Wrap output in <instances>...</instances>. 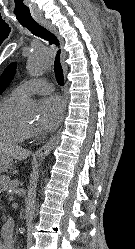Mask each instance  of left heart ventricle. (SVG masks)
<instances>
[{
    "mask_svg": "<svg viewBox=\"0 0 135 249\" xmlns=\"http://www.w3.org/2000/svg\"><path fill=\"white\" fill-rule=\"evenodd\" d=\"M24 124L29 125L30 123L28 121H24Z\"/></svg>",
    "mask_w": 135,
    "mask_h": 249,
    "instance_id": "b2bd125f",
    "label": "left heart ventricle"
}]
</instances>
